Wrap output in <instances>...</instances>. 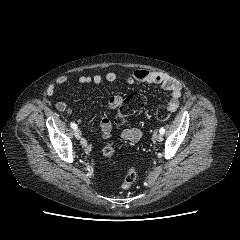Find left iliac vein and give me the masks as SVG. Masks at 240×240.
I'll return each instance as SVG.
<instances>
[{"label":"left iliac vein","mask_w":240,"mask_h":240,"mask_svg":"<svg viewBox=\"0 0 240 240\" xmlns=\"http://www.w3.org/2000/svg\"><path fill=\"white\" fill-rule=\"evenodd\" d=\"M156 139H157V141L161 142V141L163 140L162 134H158V135L156 136Z\"/></svg>","instance_id":"4c4485c4"}]
</instances>
